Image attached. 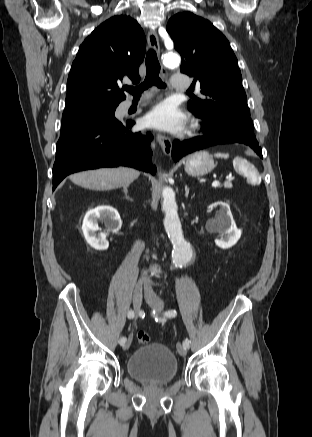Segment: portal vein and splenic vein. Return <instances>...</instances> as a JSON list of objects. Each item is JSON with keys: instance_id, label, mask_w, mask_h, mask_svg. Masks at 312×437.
Here are the masks:
<instances>
[{"instance_id": "obj_1", "label": "portal vein and splenic vein", "mask_w": 312, "mask_h": 437, "mask_svg": "<svg viewBox=\"0 0 312 437\" xmlns=\"http://www.w3.org/2000/svg\"><path fill=\"white\" fill-rule=\"evenodd\" d=\"M220 185V182L219 181H214L213 183H212V186L213 187H216V186H219Z\"/></svg>"}]
</instances>
